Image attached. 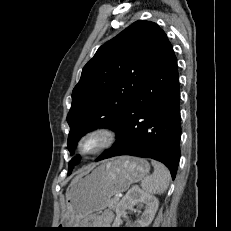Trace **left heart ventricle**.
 <instances>
[{
    "label": "left heart ventricle",
    "instance_id": "left-heart-ventricle-1",
    "mask_svg": "<svg viewBox=\"0 0 231 231\" xmlns=\"http://www.w3.org/2000/svg\"><path fill=\"white\" fill-rule=\"evenodd\" d=\"M99 144H100V139L88 138L83 142L82 148L85 151H91V150L95 149Z\"/></svg>",
    "mask_w": 231,
    "mask_h": 231
}]
</instances>
